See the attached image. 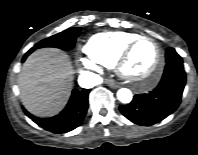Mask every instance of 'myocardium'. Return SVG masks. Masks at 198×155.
I'll return each instance as SVG.
<instances>
[{
    "label": "myocardium",
    "mask_w": 198,
    "mask_h": 155,
    "mask_svg": "<svg viewBox=\"0 0 198 155\" xmlns=\"http://www.w3.org/2000/svg\"><path fill=\"white\" fill-rule=\"evenodd\" d=\"M144 40L152 41L156 45L157 49V57L154 64V67L152 71L141 78L134 77L129 75L125 70V64L128 61L132 50L135 48V46ZM164 63V52L159 44V42L154 39L153 37L146 36V35H139L138 37L132 39L130 42L126 44V46L122 49L120 54L118 55L116 61H115V67L117 70L118 75L127 83H129L131 86H133L136 89H148L152 87L156 81L158 80L161 69Z\"/></svg>",
    "instance_id": "obj_1"
}]
</instances>
